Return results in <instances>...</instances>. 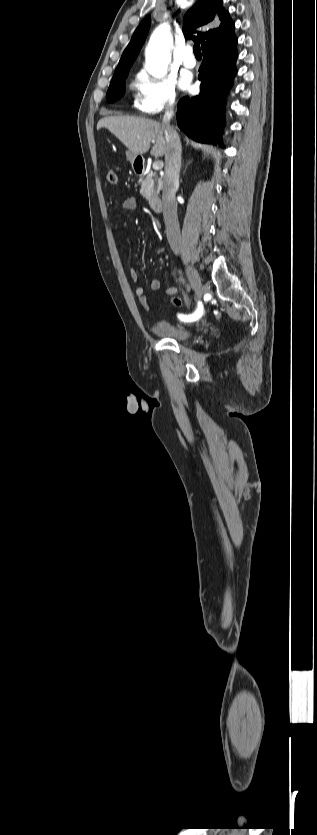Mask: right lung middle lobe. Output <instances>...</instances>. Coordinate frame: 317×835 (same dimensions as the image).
Instances as JSON below:
<instances>
[{"label":"right lung middle lobe","instance_id":"right-lung-middle-lobe-1","mask_svg":"<svg viewBox=\"0 0 317 835\" xmlns=\"http://www.w3.org/2000/svg\"><path fill=\"white\" fill-rule=\"evenodd\" d=\"M128 73L129 69L115 71L106 95V100L108 102L117 101L124 95L125 79L127 78Z\"/></svg>","mask_w":317,"mask_h":835}]
</instances>
